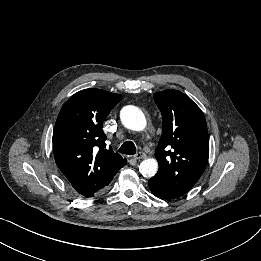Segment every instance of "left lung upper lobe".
Returning <instances> with one entry per match:
<instances>
[{
  "label": "left lung upper lobe",
  "instance_id": "left-lung-upper-lobe-1",
  "mask_svg": "<svg viewBox=\"0 0 261 261\" xmlns=\"http://www.w3.org/2000/svg\"><path fill=\"white\" fill-rule=\"evenodd\" d=\"M154 100L163 120L162 135L155 149L159 170L154 178L182 196L198 181L208 162L206 120L201 109L180 91L155 93Z\"/></svg>",
  "mask_w": 261,
  "mask_h": 261
}]
</instances>
